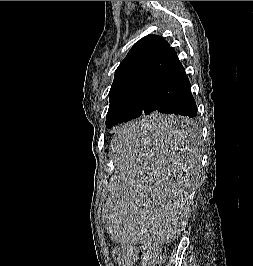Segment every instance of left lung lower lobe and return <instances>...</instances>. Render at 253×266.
Instances as JSON below:
<instances>
[{"label": "left lung lower lobe", "mask_w": 253, "mask_h": 266, "mask_svg": "<svg viewBox=\"0 0 253 266\" xmlns=\"http://www.w3.org/2000/svg\"><path fill=\"white\" fill-rule=\"evenodd\" d=\"M183 116L162 121L153 112ZM145 117V115H150ZM139 127L163 138L183 136L191 130L189 119L197 115L189 79L176 52L169 47L146 92Z\"/></svg>", "instance_id": "left-lung-lower-lobe-1"}]
</instances>
